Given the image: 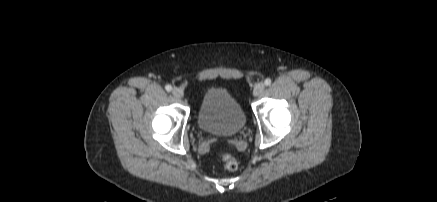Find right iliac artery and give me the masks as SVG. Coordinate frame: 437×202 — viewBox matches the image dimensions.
Instances as JSON below:
<instances>
[{"label":"right iliac artery","instance_id":"obj_1","mask_svg":"<svg viewBox=\"0 0 437 202\" xmlns=\"http://www.w3.org/2000/svg\"><path fill=\"white\" fill-rule=\"evenodd\" d=\"M165 89H166V91L170 92L172 90V86L171 85H166Z\"/></svg>","mask_w":437,"mask_h":202}]
</instances>
